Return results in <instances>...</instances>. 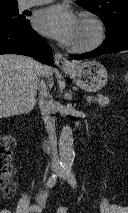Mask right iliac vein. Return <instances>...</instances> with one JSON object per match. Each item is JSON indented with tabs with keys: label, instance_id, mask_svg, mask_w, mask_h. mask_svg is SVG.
<instances>
[{
	"label": "right iliac vein",
	"instance_id": "right-iliac-vein-1",
	"mask_svg": "<svg viewBox=\"0 0 128 213\" xmlns=\"http://www.w3.org/2000/svg\"><path fill=\"white\" fill-rule=\"evenodd\" d=\"M52 171L56 172V171H58V169L57 168H52Z\"/></svg>",
	"mask_w": 128,
	"mask_h": 213
}]
</instances>
